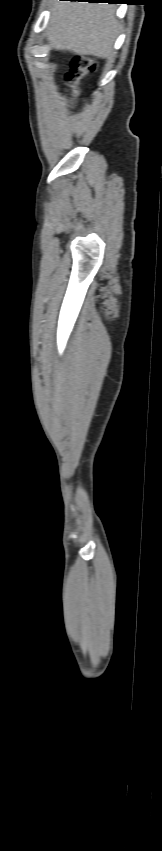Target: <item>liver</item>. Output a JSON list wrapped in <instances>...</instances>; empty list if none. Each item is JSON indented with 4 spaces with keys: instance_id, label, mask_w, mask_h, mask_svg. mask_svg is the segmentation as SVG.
<instances>
[{
    "instance_id": "liver-1",
    "label": "liver",
    "mask_w": 162,
    "mask_h": 851,
    "mask_svg": "<svg viewBox=\"0 0 162 851\" xmlns=\"http://www.w3.org/2000/svg\"><path fill=\"white\" fill-rule=\"evenodd\" d=\"M46 31L50 45L79 55L108 58L119 31L116 7L106 3L52 0Z\"/></svg>"
}]
</instances>
